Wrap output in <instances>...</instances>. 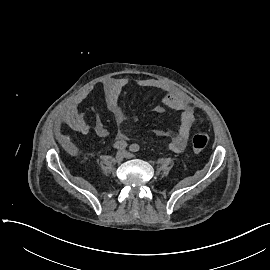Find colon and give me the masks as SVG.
<instances>
[{"mask_svg": "<svg viewBox=\"0 0 270 270\" xmlns=\"http://www.w3.org/2000/svg\"><path fill=\"white\" fill-rule=\"evenodd\" d=\"M208 142L209 138L205 133H196L192 138V146L194 151H203L207 147Z\"/></svg>", "mask_w": 270, "mask_h": 270, "instance_id": "1", "label": "colon"}]
</instances>
